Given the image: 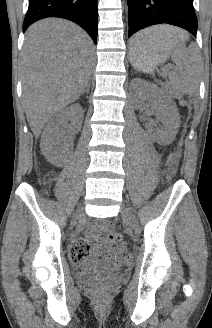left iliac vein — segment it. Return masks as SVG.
<instances>
[{
    "instance_id": "obj_1",
    "label": "left iliac vein",
    "mask_w": 212,
    "mask_h": 328,
    "mask_svg": "<svg viewBox=\"0 0 212 328\" xmlns=\"http://www.w3.org/2000/svg\"><path fill=\"white\" fill-rule=\"evenodd\" d=\"M121 214L124 218V220H126L128 222V224L134 229L137 230L138 229V222H137V218L134 215L133 211L127 207V206H122L121 208Z\"/></svg>"
}]
</instances>
